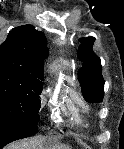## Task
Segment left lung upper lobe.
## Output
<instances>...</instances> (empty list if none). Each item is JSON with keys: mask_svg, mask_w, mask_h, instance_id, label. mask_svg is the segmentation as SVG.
Listing matches in <instances>:
<instances>
[{"mask_svg": "<svg viewBox=\"0 0 124 149\" xmlns=\"http://www.w3.org/2000/svg\"><path fill=\"white\" fill-rule=\"evenodd\" d=\"M95 38L80 39L78 56L83 61L79 71V81L85 100L90 103L102 102L104 96V80L101 74L100 58L93 52L92 45Z\"/></svg>", "mask_w": 124, "mask_h": 149, "instance_id": "left-lung-upper-lobe-1", "label": "left lung upper lobe"}]
</instances>
